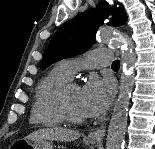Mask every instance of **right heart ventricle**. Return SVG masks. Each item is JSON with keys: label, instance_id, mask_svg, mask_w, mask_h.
Wrapping results in <instances>:
<instances>
[{"label": "right heart ventricle", "instance_id": "obj_1", "mask_svg": "<svg viewBox=\"0 0 155 149\" xmlns=\"http://www.w3.org/2000/svg\"><path fill=\"white\" fill-rule=\"evenodd\" d=\"M70 80L58 65L41 78L35 89L30 114L31 123L44 127H58L66 122L58 106V93Z\"/></svg>", "mask_w": 155, "mask_h": 149}]
</instances>
